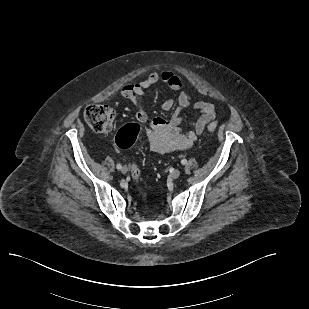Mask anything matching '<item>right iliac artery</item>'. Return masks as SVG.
<instances>
[{
  "mask_svg": "<svg viewBox=\"0 0 309 309\" xmlns=\"http://www.w3.org/2000/svg\"><path fill=\"white\" fill-rule=\"evenodd\" d=\"M117 169L120 170L122 168L121 164L116 165Z\"/></svg>",
  "mask_w": 309,
  "mask_h": 309,
  "instance_id": "1",
  "label": "right iliac artery"
}]
</instances>
